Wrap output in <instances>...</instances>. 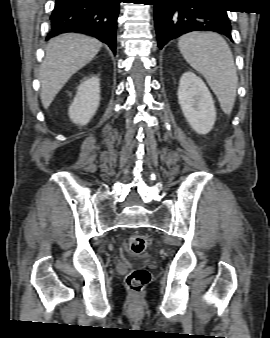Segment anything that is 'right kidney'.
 I'll return each instance as SVG.
<instances>
[{"instance_id": "1", "label": "right kidney", "mask_w": 270, "mask_h": 338, "mask_svg": "<svg viewBox=\"0 0 270 338\" xmlns=\"http://www.w3.org/2000/svg\"><path fill=\"white\" fill-rule=\"evenodd\" d=\"M100 101V80L91 77L83 81L77 89L73 103L69 107V117L73 123L86 125L96 113Z\"/></svg>"}]
</instances>
